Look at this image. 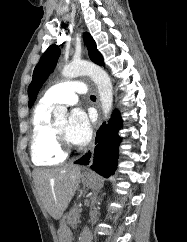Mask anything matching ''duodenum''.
I'll list each match as a JSON object with an SVG mask.
<instances>
[{"label": "duodenum", "instance_id": "obj_1", "mask_svg": "<svg viewBox=\"0 0 187 242\" xmlns=\"http://www.w3.org/2000/svg\"><path fill=\"white\" fill-rule=\"evenodd\" d=\"M80 242H91V236L88 234H82Z\"/></svg>", "mask_w": 187, "mask_h": 242}]
</instances>
